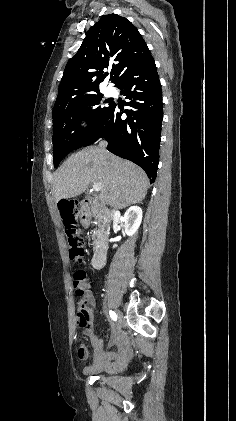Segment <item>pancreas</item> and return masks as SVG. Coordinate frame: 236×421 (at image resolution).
<instances>
[{"label":"pancreas","instance_id":"1","mask_svg":"<svg viewBox=\"0 0 236 421\" xmlns=\"http://www.w3.org/2000/svg\"><path fill=\"white\" fill-rule=\"evenodd\" d=\"M93 215L95 217L94 223H95L96 229H94V233L92 235V241H94V243H98V241H101L104 235L108 233L109 227L105 225L104 217L102 213H93Z\"/></svg>","mask_w":236,"mask_h":421}]
</instances>
